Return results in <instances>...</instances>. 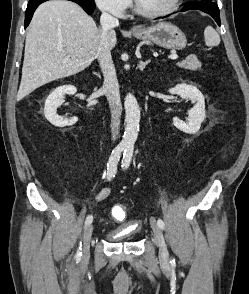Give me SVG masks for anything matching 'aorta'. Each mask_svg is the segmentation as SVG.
I'll return each mask as SVG.
<instances>
[{
    "label": "aorta",
    "mask_w": 249,
    "mask_h": 294,
    "mask_svg": "<svg viewBox=\"0 0 249 294\" xmlns=\"http://www.w3.org/2000/svg\"><path fill=\"white\" fill-rule=\"evenodd\" d=\"M125 107V131L122 138L124 147H134L139 132L140 108L135 96L127 94L124 100Z\"/></svg>",
    "instance_id": "obj_1"
}]
</instances>
